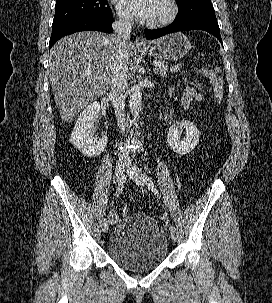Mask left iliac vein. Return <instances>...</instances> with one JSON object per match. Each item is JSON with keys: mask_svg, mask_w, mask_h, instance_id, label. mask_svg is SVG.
<instances>
[{"mask_svg": "<svg viewBox=\"0 0 272 303\" xmlns=\"http://www.w3.org/2000/svg\"><path fill=\"white\" fill-rule=\"evenodd\" d=\"M128 175L133 182H135L139 186H145L146 179L143 175L142 171L135 165H128ZM171 238L173 241L176 240V230H170Z\"/></svg>", "mask_w": 272, "mask_h": 303, "instance_id": "obj_1", "label": "left iliac vein"}]
</instances>
